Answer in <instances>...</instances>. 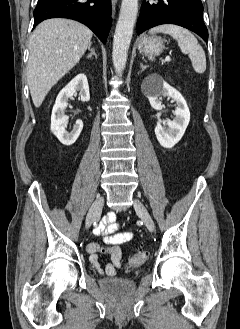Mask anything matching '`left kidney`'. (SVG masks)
I'll use <instances>...</instances> for the list:
<instances>
[{
    "label": "left kidney",
    "instance_id": "obj_1",
    "mask_svg": "<svg viewBox=\"0 0 240 329\" xmlns=\"http://www.w3.org/2000/svg\"><path fill=\"white\" fill-rule=\"evenodd\" d=\"M142 89L151 107L157 111L162 110V96L169 97L175 102L176 108L173 112L175 118L172 121L159 119L154 130L160 145L164 148H172L180 141L190 121V111L185 99L156 73L145 78Z\"/></svg>",
    "mask_w": 240,
    "mask_h": 329
}]
</instances>
